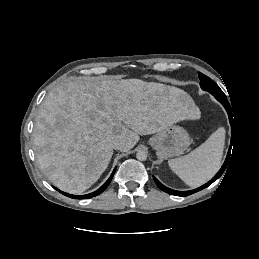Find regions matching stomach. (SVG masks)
<instances>
[{
	"mask_svg": "<svg viewBox=\"0 0 259 259\" xmlns=\"http://www.w3.org/2000/svg\"><path fill=\"white\" fill-rule=\"evenodd\" d=\"M149 144L159 159H167L183 154L190 145V137L184 128L173 124L153 135Z\"/></svg>",
	"mask_w": 259,
	"mask_h": 259,
	"instance_id": "obj_1",
	"label": "stomach"
}]
</instances>
